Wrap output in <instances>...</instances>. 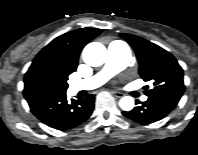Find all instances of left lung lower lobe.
<instances>
[{"mask_svg":"<svg viewBox=\"0 0 198 155\" xmlns=\"http://www.w3.org/2000/svg\"><path fill=\"white\" fill-rule=\"evenodd\" d=\"M179 100L180 98L170 96L148 97L142 105L122 113L133 121L150 124L167 116L177 106ZM136 104L139 102L136 101Z\"/></svg>","mask_w":198,"mask_h":155,"instance_id":"left-lung-lower-lobe-1","label":"left lung lower lobe"}]
</instances>
